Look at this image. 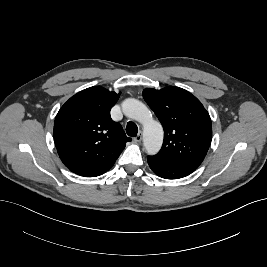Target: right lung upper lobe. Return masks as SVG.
Listing matches in <instances>:
<instances>
[{"label": "right lung upper lobe", "instance_id": "obj_1", "mask_svg": "<svg viewBox=\"0 0 267 267\" xmlns=\"http://www.w3.org/2000/svg\"><path fill=\"white\" fill-rule=\"evenodd\" d=\"M119 96L94 86L75 94L59 110L54 141L62 162L73 173L84 177L102 175L131 141L110 117Z\"/></svg>", "mask_w": 267, "mask_h": 267}]
</instances>
